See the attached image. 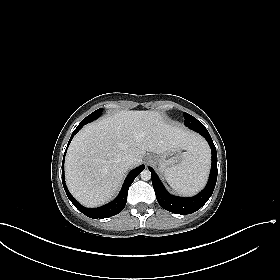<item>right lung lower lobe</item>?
<instances>
[{"label":"right lung lower lobe","instance_id":"98d812e1","mask_svg":"<svg viewBox=\"0 0 280 280\" xmlns=\"http://www.w3.org/2000/svg\"><path fill=\"white\" fill-rule=\"evenodd\" d=\"M87 124L86 122H84L83 120L80 122V124L77 126V128L73 131L71 138L68 142L67 147L69 146L70 141L72 140L73 136L82 128L83 125ZM67 149V148H66ZM66 153V151H65ZM64 153V156H65ZM145 168L144 165H141L139 167H137L136 169L132 170L128 176L126 177L124 184L122 186V189L119 193V195L110 203L99 207V208H93V209H89V208H85L82 205H80L73 197L72 195L69 193L67 186L65 184V178H64V158H63V162H62V182H63V186L65 189V192L69 198V200L73 203V205L79 210L81 211L84 215L93 218V219H103V218H107V217H111L114 216L116 214H118L119 212H121L125 205H126V201H127V194H128V189L130 187V185L132 184V182L134 181V179L141 173V171Z\"/></svg>","mask_w":280,"mask_h":280}]
</instances>
